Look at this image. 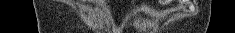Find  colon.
<instances>
[{"instance_id":"colon-1","label":"colon","mask_w":235,"mask_h":33,"mask_svg":"<svg viewBox=\"0 0 235 33\" xmlns=\"http://www.w3.org/2000/svg\"><path fill=\"white\" fill-rule=\"evenodd\" d=\"M165 2H170L169 0H166Z\"/></svg>"}]
</instances>
